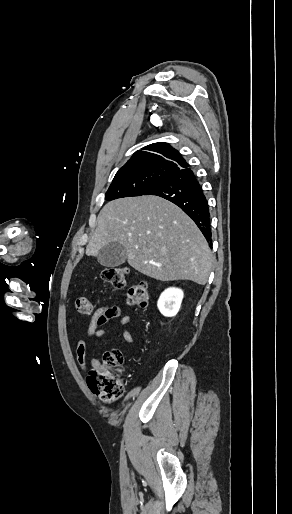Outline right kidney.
<instances>
[{"instance_id":"ca27d5eb","label":"right kidney","mask_w":292,"mask_h":514,"mask_svg":"<svg viewBox=\"0 0 292 514\" xmlns=\"http://www.w3.org/2000/svg\"><path fill=\"white\" fill-rule=\"evenodd\" d=\"M183 296L182 290H178V288H167L165 292H162L158 300V310H160L163 316H168V318L176 316L177 312H179Z\"/></svg>"}]
</instances>
